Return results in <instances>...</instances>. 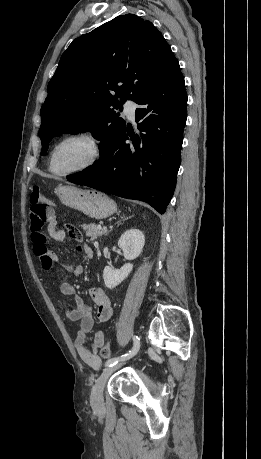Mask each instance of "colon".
<instances>
[{
  "label": "colon",
  "instance_id": "obj_1",
  "mask_svg": "<svg viewBox=\"0 0 261 459\" xmlns=\"http://www.w3.org/2000/svg\"><path fill=\"white\" fill-rule=\"evenodd\" d=\"M31 204V220L29 221L30 233L34 234L35 238H44L45 231L42 227L55 219V204L47 198L40 190V187L35 185L30 194ZM71 236L78 238L81 233L73 226H67ZM100 354L102 358L108 359L111 357V345L109 342L101 347Z\"/></svg>",
  "mask_w": 261,
  "mask_h": 459
}]
</instances>
